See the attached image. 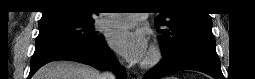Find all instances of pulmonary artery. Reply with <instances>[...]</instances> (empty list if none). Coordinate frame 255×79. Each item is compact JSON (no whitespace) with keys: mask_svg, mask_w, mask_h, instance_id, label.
I'll return each instance as SVG.
<instances>
[{"mask_svg":"<svg viewBox=\"0 0 255 79\" xmlns=\"http://www.w3.org/2000/svg\"><path fill=\"white\" fill-rule=\"evenodd\" d=\"M149 17V13L141 14H112L107 18L101 19V26H129L139 21L146 20Z\"/></svg>","mask_w":255,"mask_h":79,"instance_id":"e3ab8cb5","label":"pulmonary artery"}]
</instances>
